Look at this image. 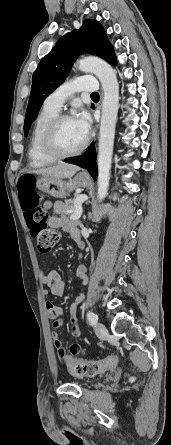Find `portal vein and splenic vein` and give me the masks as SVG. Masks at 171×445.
<instances>
[{
  "mask_svg": "<svg viewBox=\"0 0 171 445\" xmlns=\"http://www.w3.org/2000/svg\"><path fill=\"white\" fill-rule=\"evenodd\" d=\"M86 199H87V197H85V196H81L76 199L75 209L70 211L72 213L70 216V219L77 220L81 217V215H82V206L81 205H82V202Z\"/></svg>",
  "mask_w": 171,
  "mask_h": 445,
  "instance_id": "obj_1",
  "label": "portal vein and splenic vein"
}]
</instances>
